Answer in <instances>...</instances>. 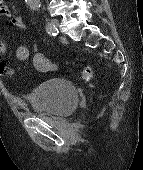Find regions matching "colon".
Returning <instances> with one entry per match:
<instances>
[{
  "mask_svg": "<svg viewBox=\"0 0 143 170\" xmlns=\"http://www.w3.org/2000/svg\"><path fill=\"white\" fill-rule=\"evenodd\" d=\"M81 78L89 81L92 78V69L90 67H84L81 71Z\"/></svg>",
  "mask_w": 143,
  "mask_h": 170,
  "instance_id": "5ec220e1",
  "label": "colon"
}]
</instances>
